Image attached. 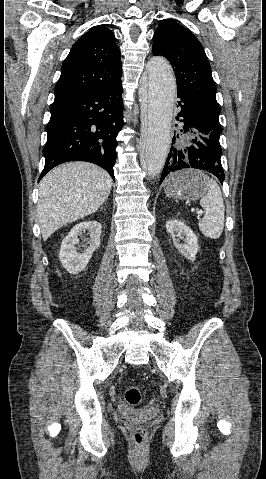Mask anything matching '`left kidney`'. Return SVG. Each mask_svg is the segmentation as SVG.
<instances>
[{
    "label": "left kidney",
    "mask_w": 266,
    "mask_h": 479,
    "mask_svg": "<svg viewBox=\"0 0 266 479\" xmlns=\"http://www.w3.org/2000/svg\"><path fill=\"white\" fill-rule=\"evenodd\" d=\"M166 230L173 237V242L188 260L194 261L198 252V238L194 232L179 220H168ZM183 240V244H179Z\"/></svg>",
    "instance_id": "obj_1"
}]
</instances>
